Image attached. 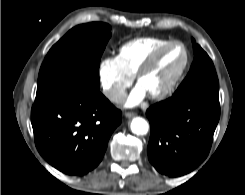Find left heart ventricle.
Here are the masks:
<instances>
[{"mask_svg": "<svg viewBox=\"0 0 245 195\" xmlns=\"http://www.w3.org/2000/svg\"><path fill=\"white\" fill-rule=\"evenodd\" d=\"M183 60V52L179 46H174L164 52L155 65L145 73L139 85L147 94L162 89L178 70Z\"/></svg>", "mask_w": 245, "mask_h": 195, "instance_id": "left-heart-ventricle-1", "label": "left heart ventricle"}]
</instances>
